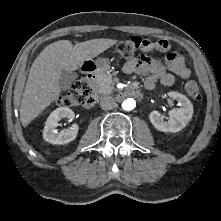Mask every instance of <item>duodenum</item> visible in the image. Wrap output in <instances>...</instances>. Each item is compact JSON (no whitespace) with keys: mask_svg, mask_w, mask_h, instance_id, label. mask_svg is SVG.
Listing matches in <instances>:
<instances>
[{"mask_svg":"<svg viewBox=\"0 0 221 221\" xmlns=\"http://www.w3.org/2000/svg\"><path fill=\"white\" fill-rule=\"evenodd\" d=\"M84 72L86 75V78L88 80H93L96 76L98 70L96 66L92 63L85 65ZM139 94V89L136 87H132L120 94L121 97H132L137 96ZM96 103V97L92 94L88 95L84 101V106L87 108L92 107Z\"/></svg>","mask_w":221,"mask_h":221,"instance_id":"obj_1","label":"duodenum"}]
</instances>
